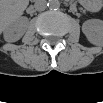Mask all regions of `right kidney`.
Listing matches in <instances>:
<instances>
[{
    "mask_svg": "<svg viewBox=\"0 0 103 103\" xmlns=\"http://www.w3.org/2000/svg\"><path fill=\"white\" fill-rule=\"evenodd\" d=\"M28 20H17L4 30V38L7 42L19 40L25 32Z\"/></svg>",
    "mask_w": 103,
    "mask_h": 103,
    "instance_id": "1",
    "label": "right kidney"
}]
</instances>
